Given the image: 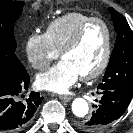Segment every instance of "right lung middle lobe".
Listing matches in <instances>:
<instances>
[{"label":"right lung middle lobe","mask_w":133,"mask_h":133,"mask_svg":"<svg viewBox=\"0 0 133 133\" xmlns=\"http://www.w3.org/2000/svg\"><path fill=\"white\" fill-rule=\"evenodd\" d=\"M24 3L0 0V78L17 71L21 62L15 55L14 24L20 17Z\"/></svg>","instance_id":"dd1d6c3e"}]
</instances>
